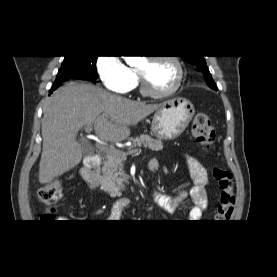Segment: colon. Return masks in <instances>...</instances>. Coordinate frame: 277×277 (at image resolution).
I'll use <instances>...</instances> for the list:
<instances>
[{
  "label": "colon",
  "instance_id": "5ec220e1",
  "mask_svg": "<svg viewBox=\"0 0 277 277\" xmlns=\"http://www.w3.org/2000/svg\"><path fill=\"white\" fill-rule=\"evenodd\" d=\"M192 134L196 141L206 149L211 148L215 142V130L211 119L206 113L199 112L195 115L192 122ZM213 176L219 187V200L215 211L217 222H226L233 213L235 203L234 185L231 173L223 168L213 169ZM63 187L60 181H52L39 190V199L47 206L46 212L41 216L44 222H54L55 205L62 197Z\"/></svg>",
  "mask_w": 277,
  "mask_h": 277
}]
</instances>
